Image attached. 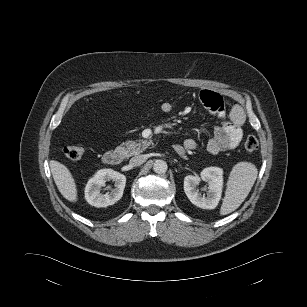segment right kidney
I'll list each match as a JSON object with an SVG mask.
<instances>
[{
  "mask_svg": "<svg viewBox=\"0 0 307 307\" xmlns=\"http://www.w3.org/2000/svg\"><path fill=\"white\" fill-rule=\"evenodd\" d=\"M114 181L115 188L111 192L103 194L101 188L105 186L107 181ZM126 184L125 175L112 169H101L89 179L85 187L86 201L95 207H107L115 204L121 199Z\"/></svg>",
  "mask_w": 307,
  "mask_h": 307,
  "instance_id": "right-kidney-1",
  "label": "right kidney"
}]
</instances>
